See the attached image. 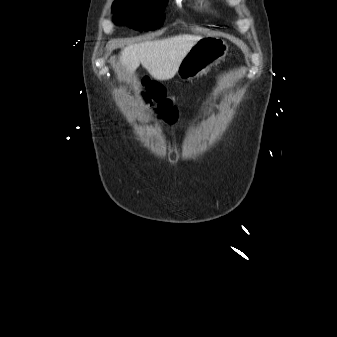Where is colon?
Returning <instances> with one entry per match:
<instances>
[{
  "mask_svg": "<svg viewBox=\"0 0 337 337\" xmlns=\"http://www.w3.org/2000/svg\"><path fill=\"white\" fill-rule=\"evenodd\" d=\"M143 93L147 103H155L157 110L164 120L170 124L175 122L176 109L170 99L167 98L164 88L157 83L144 78L142 81Z\"/></svg>",
  "mask_w": 337,
  "mask_h": 337,
  "instance_id": "5ec220e1",
  "label": "colon"
}]
</instances>
